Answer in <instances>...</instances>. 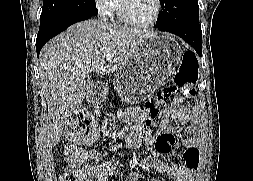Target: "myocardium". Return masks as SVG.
<instances>
[{"label": "myocardium", "instance_id": "obj_1", "mask_svg": "<svg viewBox=\"0 0 253 181\" xmlns=\"http://www.w3.org/2000/svg\"><path fill=\"white\" fill-rule=\"evenodd\" d=\"M120 10L122 19L128 25L138 28H151L155 26L159 20L162 11V2L161 0H155V12L152 19L148 22H138L134 20L128 12L126 0H120Z\"/></svg>", "mask_w": 253, "mask_h": 181}]
</instances>
